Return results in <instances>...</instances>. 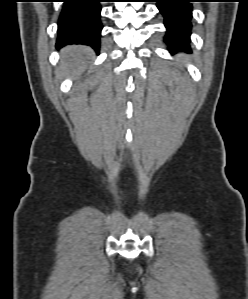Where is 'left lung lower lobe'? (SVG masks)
Instances as JSON below:
<instances>
[{"mask_svg":"<svg viewBox=\"0 0 248 299\" xmlns=\"http://www.w3.org/2000/svg\"><path fill=\"white\" fill-rule=\"evenodd\" d=\"M194 0H155L167 28L165 42L170 52H190L192 5Z\"/></svg>","mask_w":248,"mask_h":299,"instance_id":"0a47b994","label":"left lung lower lobe"}]
</instances>
